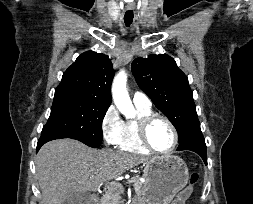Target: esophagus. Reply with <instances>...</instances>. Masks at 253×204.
<instances>
[{
	"mask_svg": "<svg viewBox=\"0 0 253 204\" xmlns=\"http://www.w3.org/2000/svg\"><path fill=\"white\" fill-rule=\"evenodd\" d=\"M133 8H134V5H133V4H128V5H127V9H128V10H132Z\"/></svg>",
	"mask_w": 253,
	"mask_h": 204,
	"instance_id": "obj_1",
	"label": "esophagus"
}]
</instances>
